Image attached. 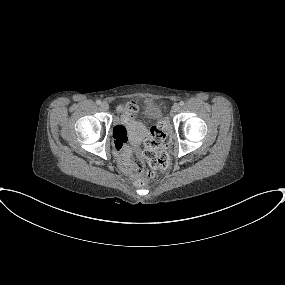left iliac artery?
<instances>
[{
  "mask_svg": "<svg viewBox=\"0 0 285 285\" xmlns=\"http://www.w3.org/2000/svg\"><path fill=\"white\" fill-rule=\"evenodd\" d=\"M184 104H185L184 101H181V102H180V105H181V106H183Z\"/></svg>",
  "mask_w": 285,
  "mask_h": 285,
  "instance_id": "44dca946",
  "label": "left iliac artery"
}]
</instances>
